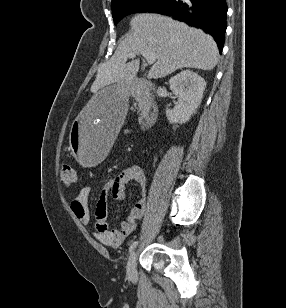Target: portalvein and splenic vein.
Wrapping results in <instances>:
<instances>
[{
    "label": "portal vein and splenic vein",
    "mask_w": 286,
    "mask_h": 308,
    "mask_svg": "<svg viewBox=\"0 0 286 308\" xmlns=\"http://www.w3.org/2000/svg\"><path fill=\"white\" fill-rule=\"evenodd\" d=\"M141 55L146 59L149 65L153 64L158 57L157 54L153 52H141ZM129 57L134 58L135 54L134 53L129 54Z\"/></svg>",
    "instance_id": "18ae733b"
}]
</instances>
